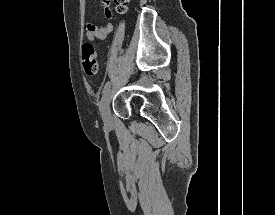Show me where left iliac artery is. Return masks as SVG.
<instances>
[{
	"label": "left iliac artery",
	"mask_w": 275,
	"mask_h": 215,
	"mask_svg": "<svg viewBox=\"0 0 275 215\" xmlns=\"http://www.w3.org/2000/svg\"><path fill=\"white\" fill-rule=\"evenodd\" d=\"M110 89V82H106L103 88V94H105Z\"/></svg>",
	"instance_id": "1"
}]
</instances>
